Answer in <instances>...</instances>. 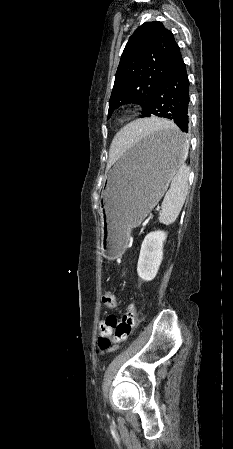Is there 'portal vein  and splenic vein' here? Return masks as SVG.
<instances>
[{
    "mask_svg": "<svg viewBox=\"0 0 233 449\" xmlns=\"http://www.w3.org/2000/svg\"><path fill=\"white\" fill-rule=\"evenodd\" d=\"M159 210H160V207H157V208H156V211H159Z\"/></svg>",
    "mask_w": 233,
    "mask_h": 449,
    "instance_id": "portal-vein-and-splenic-vein-1",
    "label": "portal vein and splenic vein"
}]
</instances>
